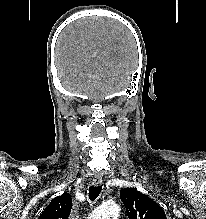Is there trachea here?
I'll return each mask as SVG.
<instances>
[{"mask_svg": "<svg viewBox=\"0 0 206 219\" xmlns=\"http://www.w3.org/2000/svg\"><path fill=\"white\" fill-rule=\"evenodd\" d=\"M102 185L89 187V199L94 201L101 193Z\"/></svg>", "mask_w": 206, "mask_h": 219, "instance_id": "trachea-1", "label": "trachea"}]
</instances>
